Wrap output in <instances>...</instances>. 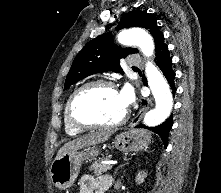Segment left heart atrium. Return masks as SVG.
<instances>
[{
    "label": "left heart atrium",
    "instance_id": "obj_1",
    "mask_svg": "<svg viewBox=\"0 0 221 193\" xmlns=\"http://www.w3.org/2000/svg\"><path fill=\"white\" fill-rule=\"evenodd\" d=\"M120 99L124 105V107L127 109L130 104L134 100L133 91L129 86H125L120 92H119Z\"/></svg>",
    "mask_w": 221,
    "mask_h": 193
}]
</instances>
